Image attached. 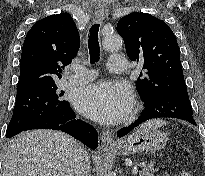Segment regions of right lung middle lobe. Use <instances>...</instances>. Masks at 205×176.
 Masks as SVG:
<instances>
[{"label": "right lung middle lobe", "mask_w": 205, "mask_h": 176, "mask_svg": "<svg viewBox=\"0 0 205 176\" xmlns=\"http://www.w3.org/2000/svg\"><path fill=\"white\" fill-rule=\"evenodd\" d=\"M62 95L57 86L35 89L17 95L6 137L10 138L42 117L67 107L69 103L60 98Z\"/></svg>", "instance_id": "1"}]
</instances>
